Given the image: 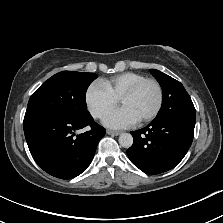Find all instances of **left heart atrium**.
Here are the masks:
<instances>
[{
	"label": "left heart atrium",
	"instance_id": "39dd6f15",
	"mask_svg": "<svg viewBox=\"0 0 223 223\" xmlns=\"http://www.w3.org/2000/svg\"><path fill=\"white\" fill-rule=\"evenodd\" d=\"M137 121L138 120L125 107L114 110L104 118L105 125L117 129L129 127Z\"/></svg>",
	"mask_w": 223,
	"mask_h": 223
}]
</instances>
